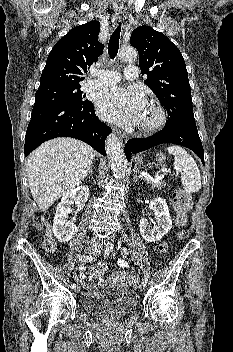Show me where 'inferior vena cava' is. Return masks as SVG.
<instances>
[{"label":"inferior vena cava","mask_w":233,"mask_h":352,"mask_svg":"<svg viewBox=\"0 0 233 352\" xmlns=\"http://www.w3.org/2000/svg\"><path fill=\"white\" fill-rule=\"evenodd\" d=\"M97 241H98V237L97 236L93 237L92 243H97Z\"/></svg>","instance_id":"inferior-vena-cava-1"}]
</instances>
